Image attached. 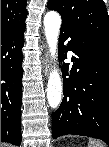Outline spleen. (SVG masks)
Masks as SVG:
<instances>
[{
  "label": "spleen",
  "mask_w": 109,
  "mask_h": 147,
  "mask_svg": "<svg viewBox=\"0 0 109 147\" xmlns=\"http://www.w3.org/2000/svg\"><path fill=\"white\" fill-rule=\"evenodd\" d=\"M88 147H106L101 140H89Z\"/></svg>",
  "instance_id": "1"
}]
</instances>
